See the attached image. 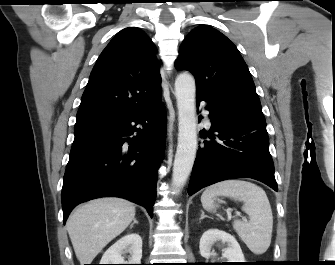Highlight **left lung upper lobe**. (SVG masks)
<instances>
[{"instance_id":"obj_1","label":"left lung upper lobe","mask_w":335,"mask_h":265,"mask_svg":"<svg viewBox=\"0 0 335 265\" xmlns=\"http://www.w3.org/2000/svg\"><path fill=\"white\" fill-rule=\"evenodd\" d=\"M177 70L196 79V95L266 127L249 69L236 46L218 30L200 25L183 42Z\"/></svg>"}]
</instances>
